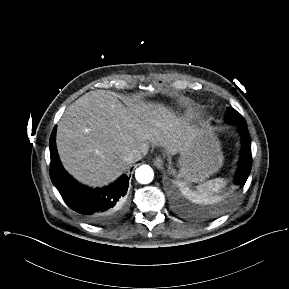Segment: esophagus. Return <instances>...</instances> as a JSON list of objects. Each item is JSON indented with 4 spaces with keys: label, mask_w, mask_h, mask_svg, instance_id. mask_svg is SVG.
<instances>
[{
    "label": "esophagus",
    "mask_w": 289,
    "mask_h": 289,
    "mask_svg": "<svg viewBox=\"0 0 289 289\" xmlns=\"http://www.w3.org/2000/svg\"><path fill=\"white\" fill-rule=\"evenodd\" d=\"M154 165L158 168V169H162L164 166V161L161 157H156L153 160Z\"/></svg>",
    "instance_id": "34e87169"
}]
</instances>
